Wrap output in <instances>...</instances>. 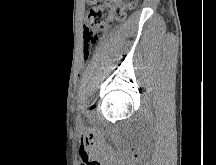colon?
<instances>
[{"label":"colon","instance_id":"5ec220e1","mask_svg":"<svg viewBox=\"0 0 216 165\" xmlns=\"http://www.w3.org/2000/svg\"><path fill=\"white\" fill-rule=\"evenodd\" d=\"M91 6L84 25V55L88 56L100 34L114 22L123 19L126 10L137 0H87Z\"/></svg>","mask_w":216,"mask_h":165}]
</instances>
